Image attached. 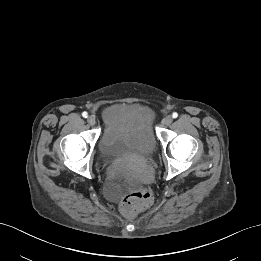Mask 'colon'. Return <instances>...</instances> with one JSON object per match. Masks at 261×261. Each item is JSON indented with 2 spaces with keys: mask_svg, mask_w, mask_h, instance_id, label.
Instances as JSON below:
<instances>
[{
  "mask_svg": "<svg viewBox=\"0 0 261 261\" xmlns=\"http://www.w3.org/2000/svg\"><path fill=\"white\" fill-rule=\"evenodd\" d=\"M116 181L127 190L126 196L120 203V210L125 215H133L150 205L152 195L148 189L137 185L126 175H119Z\"/></svg>",
  "mask_w": 261,
  "mask_h": 261,
  "instance_id": "5ec220e1",
  "label": "colon"
}]
</instances>
